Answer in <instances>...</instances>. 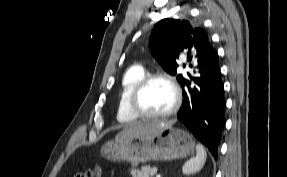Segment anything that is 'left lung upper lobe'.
<instances>
[{"instance_id":"1","label":"left lung upper lobe","mask_w":287,"mask_h":177,"mask_svg":"<svg viewBox=\"0 0 287 177\" xmlns=\"http://www.w3.org/2000/svg\"><path fill=\"white\" fill-rule=\"evenodd\" d=\"M149 48L163 69L171 75H176L177 59L181 53H186L189 60L193 57L199 64L206 60L213 47L203 29L194 28L181 18H166L154 26ZM188 78L177 76L181 86Z\"/></svg>"}]
</instances>
